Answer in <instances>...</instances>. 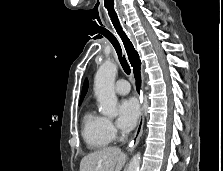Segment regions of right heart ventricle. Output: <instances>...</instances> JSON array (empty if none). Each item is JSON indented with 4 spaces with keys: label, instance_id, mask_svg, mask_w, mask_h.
Listing matches in <instances>:
<instances>
[{
    "label": "right heart ventricle",
    "instance_id": "obj_1",
    "mask_svg": "<svg viewBox=\"0 0 223 171\" xmlns=\"http://www.w3.org/2000/svg\"><path fill=\"white\" fill-rule=\"evenodd\" d=\"M82 137L93 150L107 147L113 139L107 130L106 118L93 109H88L83 116Z\"/></svg>",
    "mask_w": 223,
    "mask_h": 171
}]
</instances>
